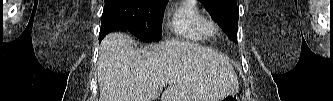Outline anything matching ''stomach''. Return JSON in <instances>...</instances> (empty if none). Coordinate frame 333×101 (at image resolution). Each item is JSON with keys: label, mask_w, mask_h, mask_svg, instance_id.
Wrapping results in <instances>:
<instances>
[{"label": "stomach", "mask_w": 333, "mask_h": 101, "mask_svg": "<svg viewBox=\"0 0 333 101\" xmlns=\"http://www.w3.org/2000/svg\"><path fill=\"white\" fill-rule=\"evenodd\" d=\"M237 95H235L234 93L227 95L221 99H219L218 101H237Z\"/></svg>", "instance_id": "1"}]
</instances>
